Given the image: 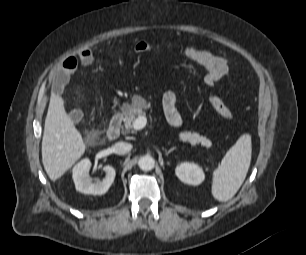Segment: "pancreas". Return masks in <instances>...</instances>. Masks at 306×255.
<instances>
[{
	"instance_id": "1",
	"label": "pancreas",
	"mask_w": 306,
	"mask_h": 255,
	"mask_svg": "<svg viewBox=\"0 0 306 255\" xmlns=\"http://www.w3.org/2000/svg\"><path fill=\"white\" fill-rule=\"evenodd\" d=\"M146 107L145 101L142 100L141 103H134L133 105L124 104L122 107V111L124 114V128L122 129V133L128 134L132 132V125L135 119L138 116H144L145 112L143 111V108ZM179 140L183 142H189L192 145L196 144H202L206 148H209L212 143L209 139H207L204 136H200L197 132H191V131H183L178 134ZM202 137L206 138L208 142H203Z\"/></svg>"
}]
</instances>
